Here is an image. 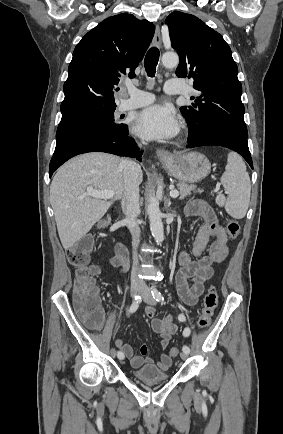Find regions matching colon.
Returning <instances> with one entry per match:
<instances>
[{"mask_svg":"<svg viewBox=\"0 0 283 434\" xmlns=\"http://www.w3.org/2000/svg\"><path fill=\"white\" fill-rule=\"evenodd\" d=\"M227 234L230 239H236L240 234V225L236 220L227 223ZM93 239L89 236L78 240L67 251V260L74 267V305L85 324L98 329L102 325L103 311L100 306L98 287L89 267ZM218 296L214 286H211L204 297L198 319L200 328H207L217 306ZM171 357L179 354L177 347L169 351Z\"/></svg>","mask_w":283,"mask_h":434,"instance_id":"obj_1","label":"colon"}]
</instances>
